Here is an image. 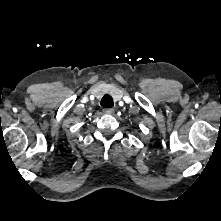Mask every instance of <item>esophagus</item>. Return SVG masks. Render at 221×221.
Returning a JSON list of instances; mask_svg holds the SVG:
<instances>
[{
    "label": "esophagus",
    "mask_w": 221,
    "mask_h": 221,
    "mask_svg": "<svg viewBox=\"0 0 221 221\" xmlns=\"http://www.w3.org/2000/svg\"><path fill=\"white\" fill-rule=\"evenodd\" d=\"M103 112H104L105 114H113V113H114V109H112V108H106V109L103 110Z\"/></svg>",
    "instance_id": "obj_1"
}]
</instances>
